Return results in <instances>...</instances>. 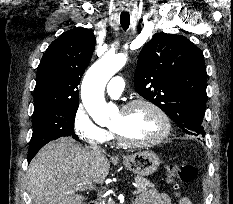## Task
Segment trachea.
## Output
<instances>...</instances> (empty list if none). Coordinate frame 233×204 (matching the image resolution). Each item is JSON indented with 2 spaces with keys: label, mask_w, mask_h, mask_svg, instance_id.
<instances>
[{
  "label": "trachea",
  "mask_w": 233,
  "mask_h": 204,
  "mask_svg": "<svg viewBox=\"0 0 233 204\" xmlns=\"http://www.w3.org/2000/svg\"><path fill=\"white\" fill-rule=\"evenodd\" d=\"M120 23L123 30H127L130 24V15L127 12H122L120 15Z\"/></svg>",
  "instance_id": "trachea-1"
}]
</instances>
